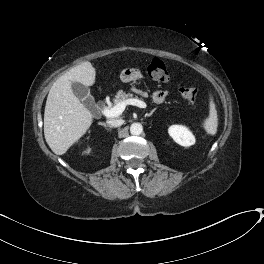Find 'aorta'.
<instances>
[{
	"label": "aorta",
	"instance_id": "aorta-1",
	"mask_svg": "<svg viewBox=\"0 0 264 264\" xmlns=\"http://www.w3.org/2000/svg\"><path fill=\"white\" fill-rule=\"evenodd\" d=\"M143 131V126L140 123H133L130 126V133L132 135H140Z\"/></svg>",
	"mask_w": 264,
	"mask_h": 264
}]
</instances>
